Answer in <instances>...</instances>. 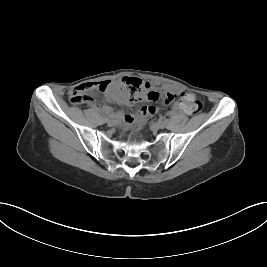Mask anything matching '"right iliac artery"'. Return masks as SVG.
<instances>
[{
    "instance_id": "82829eb1",
    "label": "right iliac artery",
    "mask_w": 267,
    "mask_h": 267,
    "mask_svg": "<svg viewBox=\"0 0 267 267\" xmlns=\"http://www.w3.org/2000/svg\"><path fill=\"white\" fill-rule=\"evenodd\" d=\"M101 116L104 118V119H106V118H108V117H113L112 115H106L105 113H101Z\"/></svg>"
}]
</instances>
